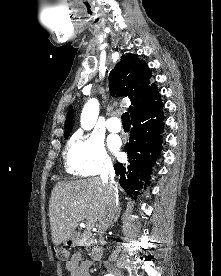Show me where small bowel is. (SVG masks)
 I'll return each instance as SVG.
<instances>
[{
  "mask_svg": "<svg viewBox=\"0 0 221 276\" xmlns=\"http://www.w3.org/2000/svg\"><path fill=\"white\" fill-rule=\"evenodd\" d=\"M91 265V260H85L80 253H75L66 263V270L69 276H90L89 269Z\"/></svg>",
  "mask_w": 221,
  "mask_h": 276,
  "instance_id": "c3829d8e",
  "label": "small bowel"
}]
</instances>
